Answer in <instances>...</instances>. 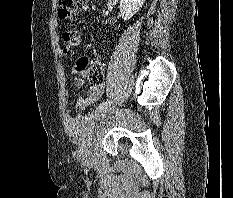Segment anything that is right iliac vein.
I'll use <instances>...</instances> for the list:
<instances>
[{"mask_svg": "<svg viewBox=\"0 0 233 198\" xmlns=\"http://www.w3.org/2000/svg\"><path fill=\"white\" fill-rule=\"evenodd\" d=\"M114 110V107H109V108H105L104 111H101V113H106L107 111H113Z\"/></svg>", "mask_w": 233, "mask_h": 198, "instance_id": "right-iliac-vein-1", "label": "right iliac vein"}]
</instances>
